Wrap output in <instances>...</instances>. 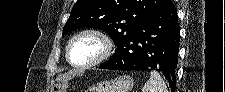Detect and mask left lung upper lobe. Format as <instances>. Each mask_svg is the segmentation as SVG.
I'll use <instances>...</instances> for the list:
<instances>
[{
    "mask_svg": "<svg viewBox=\"0 0 225 92\" xmlns=\"http://www.w3.org/2000/svg\"><path fill=\"white\" fill-rule=\"evenodd\" d=\"M166 1L77 0L63 28V35L83 27L104 30L115 42L116 53Z\"/></svg>",
    "mask_w": 225,
    "mask_h": 92,
    "instance_id": "1",
    "label": "left lung upper lobe"
}]
</instances>
